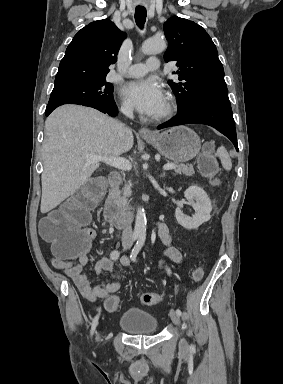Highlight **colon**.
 Masks as SVG:
<instances>
[{
  "label": "colon",
  "mask_w": 283,
  "mask_h": 384,
  "mask_svg": "<svg viewBox=\"0 0 283 384\" xmlns=\"http://www.w3.org/2000/svg\"><path fill=\"white\" fill-rule=\"evenodd\" d=\"M201 173L214 180L218 173L216 159L212 148L208 146L198 158ZM105 183L101 178H93L72 195L67 203L58 211L51 213L40 223V233L43 238L52 243L53 252L62 259H78L86 255L93 238L88 229L90 211L102 200L105 194ZM202 270L194 272V280L202 278ZM162 300L158 293L146 292L141 295V301L146 305L157 304ZM120 299L109 295L104 301L107 311H116Z\"/></svg>",
  "instance_id": "5ec220e1"
}]
</instances>
